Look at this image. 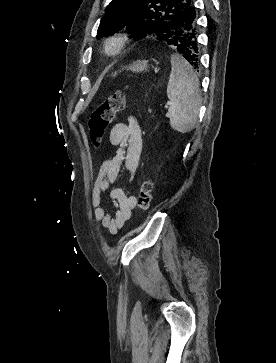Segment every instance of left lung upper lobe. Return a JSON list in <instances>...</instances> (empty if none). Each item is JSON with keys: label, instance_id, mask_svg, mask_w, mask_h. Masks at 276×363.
I'll list each match as a JSON object with an SVG mask.
<instances>
[{"label": "left lung upper lobe", "instance_id": "1", "mask_svg": "<svg viewBox=\"0 0 276 363\" xmlns=\"http://www.w3.org/2000/svg\"><path fill=\"white\" fill-rule=\"evenodd\" d=\"M192 0H112L101 19L97 37L109 36L126 27L136 37H163Z\"/></svg>", "mask_w": 276, "mask_h": 363}]
</instances>
